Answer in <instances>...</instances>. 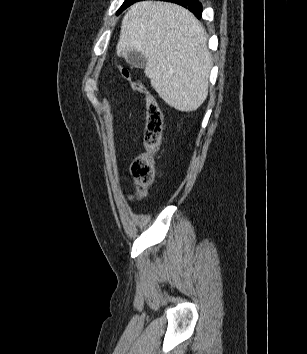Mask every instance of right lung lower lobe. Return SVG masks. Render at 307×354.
Returning a JSON list of instances; mask_svg holds the SVG:
<instances>
[{"instance_id":"1","label":"right lung lower lobe","mask_w":307,"mask_h":354,"mask_svg":"<svg viewBox=\"0 0 307 354\" xmlns=\"http://www.w3.org/2000/svg\"><path fill=\"white\" fill-rule=\"evenodd\" d=\"M141 1V0H137ZM168 2L177 3L188 8L197 18H201L202 16V5L198 0H163Z\"/></svg>"}]
</instances>
